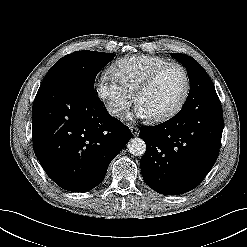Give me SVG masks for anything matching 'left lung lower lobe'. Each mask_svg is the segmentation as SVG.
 I'll list each match as a JSON object with an SVG mask.
<instances>
[{
    "mask_svg": "<svg viewBox=\"0 0 247 247\" xmlns=\"http://www.w3.org/2000/svg\"><path fill=\"white\" fill-rule=\"evenodd\" d=\"M207 95L195 98L164 123L140 127L139 136L146 143L141 172L145 183L156 192L178 195L191 191L217 160L223 112L217 94Z\"/></svg>",
    "mask_w": 247,
    "mask_h": 247,
    "instance_id": "0a47b994",
    "label": "left lung lower lobe"
}]
</instances>
